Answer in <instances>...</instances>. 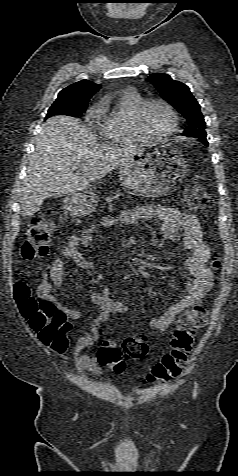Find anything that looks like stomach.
Here are the masks:
<instances>
[{"label": "stomach", "mask_w": 238, "mask_h": 476, "mask_svg": "<svg viewBox=\"0 0 238 476\" xmlns=\"http://www.w3.org/2000/svg\"><path fill=\"white\" fill-rule=\"evenodd\" d=\"M183 155L165 144H146L144 152H133L132 159L119 166V180L127 190L155 196L169 193L186 172ZM98 198L92 186L80 188L64 199V211L74 217L91 214Z\"/></svg>", "instance_id": "0dacf381"}]
</instances>
